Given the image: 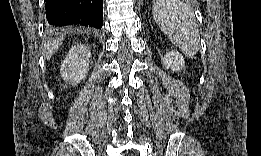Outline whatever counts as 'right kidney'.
Returning <instances> with one entry per match:
<instances>
[{
  "mask_svg": "<svg viewBox=\"0 0 261 156\" xmlns=\"http://www.w3.org/2000/svg\"><path fill=\"white\" fill-rule=\"evenodd\" d=\"M90 57L91 52L87 46L83 44L72 46L61 64V77L72 85L80 83L88 74Z\"/></svg>",
  "mask_w": 261,
  "mask_h": 156,
  "instance_id": "ca27d5eb",
  "label": "right kidney"
}]
</instances>
